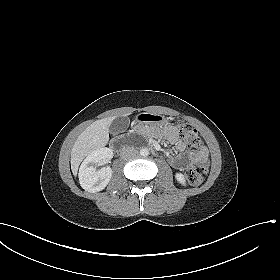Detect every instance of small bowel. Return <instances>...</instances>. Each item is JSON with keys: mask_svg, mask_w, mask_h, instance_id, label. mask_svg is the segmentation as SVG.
<instances>
[{"mask_svg": "<svg viewBox=\"0 0 280 280\" xmlns=\"http://www.w3.org/2000/svg\"><path fill=\"white\" fill-rule=\"evenodd\" d=\"M165 136L177 149V155L171 160V164L177 169L184 170L192 164L208 163V150L205 146H202L194 153L185 154L186 145L180 139L176 126H168L165 130Z\"/></svg>", "mask_w": 280, "mask_h": 280, "instance_id": "small-bowel-1", "label": "small bowel"}]
</instances>
